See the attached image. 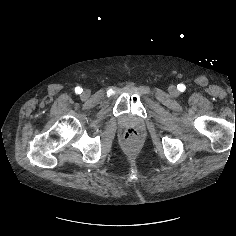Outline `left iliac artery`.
<instances>
[{"label":"left iliac artery","mask_w":236,"mask_h":236,"mask_svg":"<svg viewBox=\"0 0 236 236\" xmlns=\"http://www.w3.org/2000/svg\"><path fill=\"white\" fill-rule=\"evenodd\" d=\"M177 88H178V90L181 91V92L185 91V89H186V87H185L184 84H178Z\"/></svg>","instance_id":"1"}]
</instances>
